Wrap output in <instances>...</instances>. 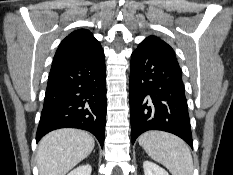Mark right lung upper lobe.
Segmentation results:
<instances>
[{
	"label": "right lung upper lobe",
	"instance_id": "obj_1",
	"mask_svg": "<svg viewBox=\"0 0 233 175\" xmlns=\"http://www.w3.org/2000/svg\"><path fill=\"white\" fill-rule=\"evenodd\" d=\"M102 50L92 33L85 29L70 33L59 45L51 69L87 59Z\"/></svg>",
	"mask_w": 233,
	"mask_h": 175
}]
</instances>
